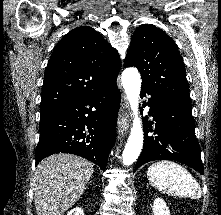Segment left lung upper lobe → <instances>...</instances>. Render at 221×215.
Instances as JSON below:
<instances>
[{"label": "left lung upper lobe", "instance_id": "obj_1", "mask_svg": "<svg viewBox=\"0 0 221 215\" xmlns=\"http://www.w3.org/2000/svg\"><path fill=\"white\" fill-rule=\"evenodd\" d=\"M124 64L138 68L142 87L151 93L191 105L184 62L174 41L161 29L152 25L138 27Z\"/></svg>", "mask_w": 221, "mask_h": 215}]
</instances>
